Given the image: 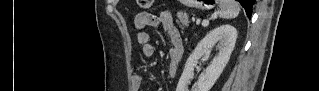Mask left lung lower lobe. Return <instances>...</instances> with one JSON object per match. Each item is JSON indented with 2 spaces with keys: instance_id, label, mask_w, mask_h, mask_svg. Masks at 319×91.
Here are the masks:
<instances>
[{
  "instance_id": "0a47b994",
  "label": "left lung lower lobe",
  "mask_w": 319,
  "mask_h": 91,
  "mask_svg": "<svg viewBox=\"0 0 319 91\" xmlns=\"http://www.w3.org/2000/svg\"><path fill=\"white\" fill-rule=\"evenodd\" d=\"M240 4L244 7L247 17L250 19L252 15V6L255 0H238Z\"/></svg>"
}]
</instances>
